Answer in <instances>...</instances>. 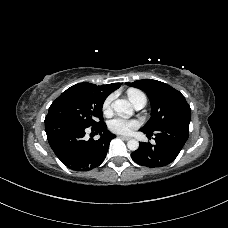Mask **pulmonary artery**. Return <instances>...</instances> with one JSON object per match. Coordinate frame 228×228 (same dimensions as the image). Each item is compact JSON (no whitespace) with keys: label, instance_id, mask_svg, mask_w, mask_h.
Listing matches in <instances>:
<instances>
[{"label":"pulmonary artery","instance_id":"e3ab8cb5","mask_svg":"<svg viewBox=\"0 0 228 228\" xmlns=\"http://www.w3.org/2000/svg\"><path fill=\"white\" fill-rule=\"evenodd\" d=\"M131 102L136 110H140L146 106L147 98L143 93L137 94L131 98Z\"/></svg>","mask_w":228,"mask_h":228}]
</instances>
